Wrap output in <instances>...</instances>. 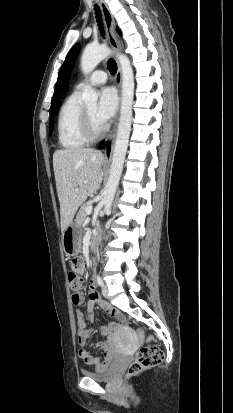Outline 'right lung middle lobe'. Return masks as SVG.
Listing matches in <instances>:
<instances>
[{
  "label": "right lung middle lobe",
  "instance_id": "dd1d6c3e",
  "mask_svg": "<svg viewBox=\"0 0 233 413\" xmlns=\"http://www.w3.org/2000/svg\"><path fill=\"white\" fill-rule=\"evenodd\" d=\"M57 110H58V107L55 108L54 110L52 109V110L50 111V115H51V117H50V134H51V132H52V130H53V121H54V116H53V115L57 113Z\"/></svg>",
  "mask_w": 233,
  "mask_h": 413
}]
</instances>
